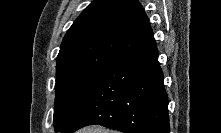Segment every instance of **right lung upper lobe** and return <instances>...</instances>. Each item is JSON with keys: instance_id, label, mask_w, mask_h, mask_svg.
<instances>
[{"instance_id": "right-lung-upper-lobe-1", "label": "right lung upper lobe", "mask_w": 221, "mask_h": 133, "mask_svg": "<svg viewBox=\"0 0 221 133\" xmlns=\"http://www.w3.org/2000/svg\"><path fill=\"white\" fill-rule=\"evenodd\" d=\"M154 47L153 31L138 0H94L65 34L56 72L109 68Z\"/></svg>"}]
</instances>
